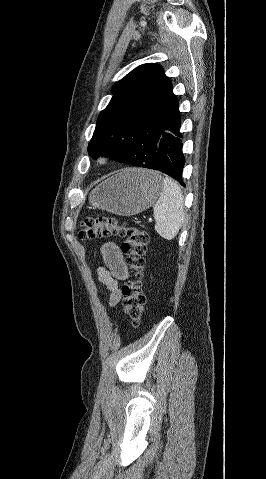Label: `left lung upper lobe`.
Returning a JSON list of instances; mask_svg holds the SVG:
<instances>
[{"mask_svg":"<svg viewBox=\"0 0 266 479\" xmlns=\"http://www.w3.org/2000/svg\"><path fill=\"white\" fill-rule=\"evenodd\" d=\"M113 97L100 113L88 153L142 166L155 157L165 118L176 96L162 66L143 64L114 84Z\"/></svg>","mask_w":266,"mask_h":479,"instance_id":"left-lung-upper-lobe-1","label":"left lung upper lobe"}]
</instances>
